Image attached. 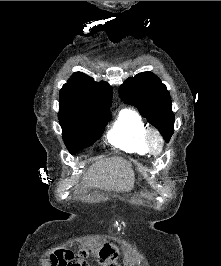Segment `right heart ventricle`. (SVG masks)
I'll return each instance as SVG.
<instances>
[{"label":"right heart ventricle","instance_id":"1","mask_svg":"<svg viewBox=\"0 0 221 266\" xmlns=\"http://www.w3.org/2000/svg\"><path fill=\"white\" fill-rule=\"evenodd\" d=\"M147 127L142 117L132 109H123L107 134V141L129 153L149 154L146 145Z\"/></svg>","mask_w":221,"mask_h":266}]
</instances>
